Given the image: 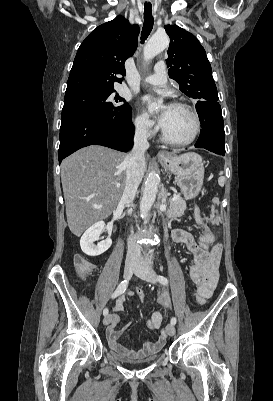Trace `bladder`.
<instances>
[{"instance_id": "obj_1", "label": "bladder", "mask_w": 273, "mask_h": 401, "mask_svg": "<svg viewBox=\"0 0 273 401\" xmlns=\"http://www.w3.org/2000/svg\"><path fill=\"white\" fill-rule=\"evenodd\" d=\"M110 355L115 361L122 363V364H126V365L150 364V363L155 362L159 357L158 354H155V355L149 356L142 360L132 361V360H128V359L124 358L123 356H121L120 354H118L114 351H110Z\"/></svg>"}]
</instances>
